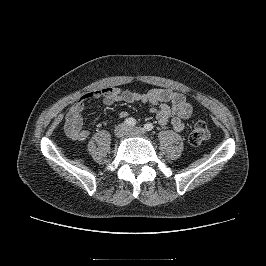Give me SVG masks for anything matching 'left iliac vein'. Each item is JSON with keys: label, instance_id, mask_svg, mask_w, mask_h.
Returning a JSON list of instances; mask_svg holds the SVG:
<instances>
[{"label": "left iliac vein", "instance_id": "left-iliac-vein-1", "mask_svg": "<svg viewBox=\"0 0 266 266\" xmlns=\"http://www.w3.org/2000/svg\"><path fill=\"white\" fill-rule=\"evenodd\" d=\"M126 134L130 136H144L146 130L142 127H128L126 129Z\"/></svg>", "mask_w": 266, "mask_h": 266}]
</instances>
